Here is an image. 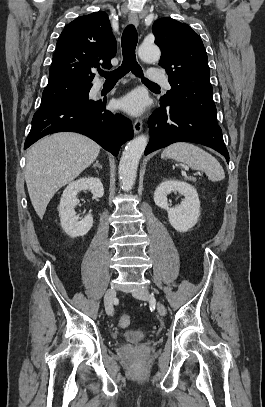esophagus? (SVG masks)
Here are the masks:
<instances>
[{"label": "esophagus", "instance_id": "obj_1", "mask_svg": "<svg viewBox=\"0 0 265 407\" xmlns=\"http://www.w3.org/2000/svg\"><path fill=\"white\" fill-rule=\"evenodd\" d=\"M129 22L131 24H133L134 26H138L139 25V19L138 16L135 12H130L129 16H128ZM143 128V122L141 119H136L133 123V129H134V133L138 134L142 131Z\"/></svg>", "mask_w": 265, "mask_h": 407}]
</instances>
